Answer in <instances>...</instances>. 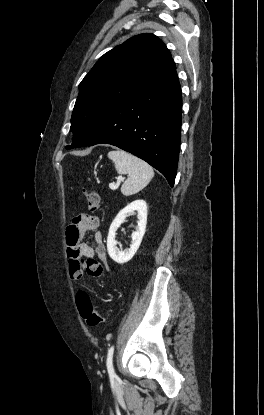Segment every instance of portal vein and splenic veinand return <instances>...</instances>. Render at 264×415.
I'll list each match as a JSON object with an SVG mask.
<instances>
[{
	"mask_svg": "<svg viewBox=\"0 0 264 415\" xmlns=\"http://www.w3.org/2000/svg\"><path fill=\"white\" fill-rule=\"evenodd\" d=\"M124 180V178L123 177H120L118 180H117V183L115 184V183H110L109 184V188L110 189H112V190H115L116 188H118V186H119V184H120V182H122Z\"/></svg>",
	"mask_w": 264,
	"mask_h": 415,
	"instance_id": "obj_1",
	"label": "portal vein and splenic vein"
}]
</instances>
